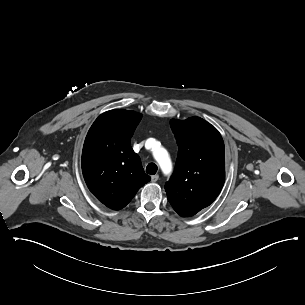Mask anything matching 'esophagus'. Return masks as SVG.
Listing matches in <instances>:
<instances>
[{"label": "esophagus", "instance_id": "1", "mask_svg": "<svg viewBox=\"0 0 305 305\" xmlns=\"http://www.w3.org/2000/svg\"><path fill=\"white\" fill-rule=\"evenodd\" d=\"M158 179H159V176H158V175H153V176H151V181H152V182H156Z\"/></svg>", "mask_w": 305, "mask_h": 305}]
</instances>
